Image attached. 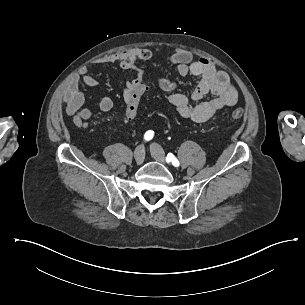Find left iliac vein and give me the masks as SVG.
Here are the masks:
<instances>
[{
	"mask_svg": "<svg viewBox=\"0 0 305 305\" xmlns=\"http://www.w3.org/2000/svg\"><path fill=\"white\" fill-rule=\"evenodd\" d=\"M151 153L156 161L162 163L163 165L167 164L165 161V153L159 145L155 144L152 146Z\"/></svg>",
	"mask_w": 305,
	"mask_h": 305,
	"instance_id": "obj_1",
	"label": "left iliac vein"
}]
</instances>
